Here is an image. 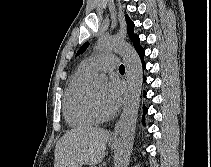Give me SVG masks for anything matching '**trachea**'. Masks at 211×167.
I'll use <instances>...</instances> for the list:
<instances>
[{
    "instance_id": "trachea-1",
    "label": "trachea",
    "mask_w": 211,
    "mask_h": 167,
    "mask_svg": "<svg viewBox=\"0 0 211 167\" xmlns=\"http://www.w3.org/2000/svg\"><path fill=\"white\" fill-rule=\"evenodd\" d=\"M119 71H125V67H124V65H120V67H119Z\"/></svg>"
}]
</instances>
